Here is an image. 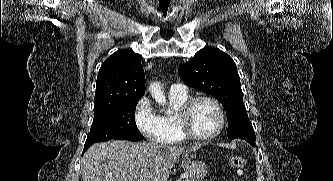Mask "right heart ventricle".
Returning <instances> with one entry per match:
<instances>
[{"label":"right heart ventricle","mask_w":333,"mask_h":181,"mask_svg":"<svg viewBox=\"0 0 333 181\" xmlns=\"http://www.w3.org/2000/svg\"><path fill=\"white\" fill-rule=\"evenodd\" d=\"M189 99L188 93L169 94V106L167 110L160 111L158 116L163 124L164 132L159 142L162 143H181L186 140V137L181 131L177 112L185 101Z\"/></svg>","instance_id":"right-heart-ventricle-1"}]
</instances>
